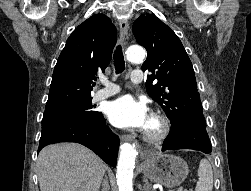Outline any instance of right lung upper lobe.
Segmentation results:
<instances>
[{
	"mask_svg": "<svg viewBox=\"0 0 251 191\" xmlns=\"http://www.w3.org/2000/svg\"><path fill=\"white\" fill-rule=\"evenodd\" d=\"M116 38L106 15H93L80 24L57 60L46 108L92 98L91 84L110 63Z\"/></svg>",
	"mask_w": 251,
	"mask_h": 191,
	"instance_id": "cb5924a9",
	"label": "right lung upper lobe"
}]
</instances>
